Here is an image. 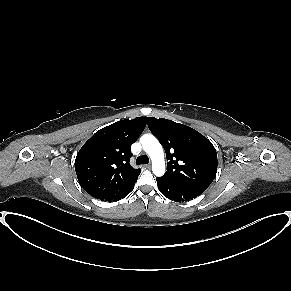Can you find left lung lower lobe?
<instances>
[{"label": "left lung lower lobe", "mask_w": 291, "mask_h": 291, "mask_svg": "<svg viewBox=\"0 0 291 291\" xmlns=\"http://www.w3.org/2000/svg\"><path fill=\"white\" fill-rule=\"evenodd\" d=\"M160 192L168 199L176 202L189 201L201 195L203 191L183 187L163 177L156 178Z\"/></svg>", "instance_id": "0a47b994"}]
</instances>
